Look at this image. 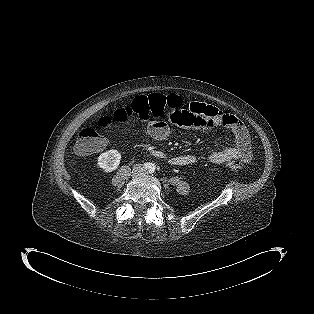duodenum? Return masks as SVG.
Segmentation results:
<instances>
[{"label": "duodenum", "instance_id": "1", "mask_svg": "<svg viewBox=\"0 0 314 314\" xmlns=\"http://www.w3.org/2000/svg\"><path fill=\"white\" fill-rule=\"evenodd\" d=\"M153 154L157 157H160V158H165L166 155L165 153L161 152V151H153Z\"/></svg>", "mask_w": 314, "mask_h": 314}]
</instances>
